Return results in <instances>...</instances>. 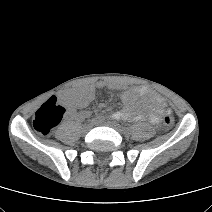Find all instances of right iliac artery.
Wrapping results in <instances>:
<instances>
[{"label":"right iliac artery","instance_id":"obj_1","mask_svg":"<svg viewBox=\"0 0 212 212\" xmlns=\"http://www.w3.org/2000/svg\"><path fill=\"white\" fill-rule=\"evenodd\" d=\"M91 122L92 123H97V122H99V119L98 118H94V119L91 120Z\"/></svg>","mask_w":212,"mask_h":212}]
</instances>
